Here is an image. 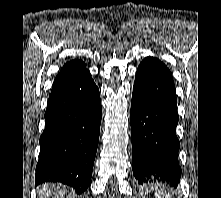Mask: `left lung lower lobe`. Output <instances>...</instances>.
<instances>
[{"label": "left lung lower lobe", "instance_id": "0a47b994", "mask_svg": "<svg viewBox=\"0 0 221 198\" xmlns=\"http://www.w3.org/2000/svg\"><path fill=\"white\" fill-rule=\"evenodd\" d=\"M177 124L172 74L157 58L146 57L137 69L131 101L133 174L140 183L154 177L178 185Z\"/></svg>", "mask_w": 221, "mask_h": 198}]
</instances>
